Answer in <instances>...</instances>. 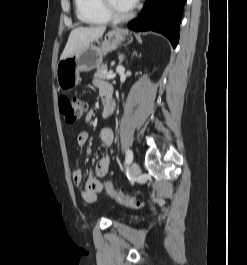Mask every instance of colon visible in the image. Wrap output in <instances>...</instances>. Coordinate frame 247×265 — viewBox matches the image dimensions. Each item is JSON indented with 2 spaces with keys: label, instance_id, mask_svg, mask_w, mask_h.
<instances>
[{
  "label": "colon",
  "instance_id": "5ec220e1",
  "mask_svg": "<svg viewBox=\"0 0 247 265\" xmlns=\"http://www.w3.org/2000/svg\"><path fill=\"white\" fill-rule=\"evenodd\" d=\"M58 106L61 114L69 124L79 120L86 109L85 102L79 97L61 96L58 99ZM102 184L107 194L113 197L119 204L131 209H140L143 207L144 203L142 201L118 191L111 182L106 181Z\"/></svg>",
  "mask_w": 247,
  "mask_h": 265
}]
</instances>
